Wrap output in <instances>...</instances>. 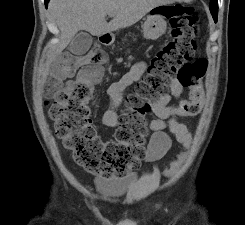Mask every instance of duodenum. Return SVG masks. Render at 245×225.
Here are the masks:
<instances>
[{"instance_id": "obj_1", "label": "duodenum", "mask_w": 245, "mask_h": 225, "mask_svg": "<svg viewBox=\"0 0 245 225\" xmlns=\"http://www.w3.org/2000/svg\"><path fill=\"white\" fill-rule=\"evenodd\" d=\"M112 38L108 33H103L99 36V41L104 45H109Z\"/></svg>"}]
</instances>
